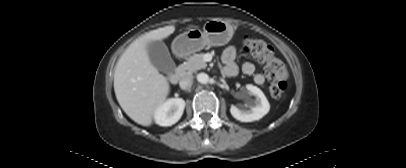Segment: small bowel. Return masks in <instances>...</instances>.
<instances>
[{"label": "small bowel", "instance_id": "obj_1", "mask_svg": "<svg viewBox=\"0 0 406 168\" xmlns=\"http://www.w3.org/2000/svg\"><path fill=\"white\" fill-rule=\"evenodd\" d=\"M222 61L226 64L224 68V73L227 76H235L238 73V67L235 64L236 49L233 46L227 47L222 52ZM242 71L244 74L253 76V81L257 85H262L264 83V76L261 73H255V66L249 62L244 61L242 63Z\"/></svg>", "mask_w": 406, "mask_h": 168}]
</instances>
